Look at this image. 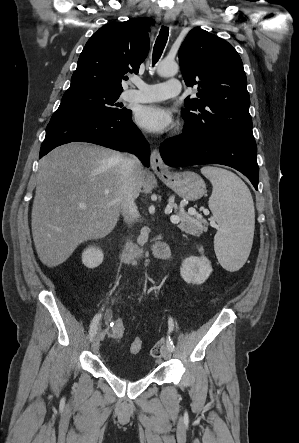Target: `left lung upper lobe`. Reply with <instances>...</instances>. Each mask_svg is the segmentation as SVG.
Returning a JSON list of instances; mask_svg holds the SVG:
<instances>
[{"instance_id":"5c2ea615","label":"left lung upper lobe","mask_w":299,"mask_h":443,"mask_svg":"<svg viewBox=\"0 0 299 443\" xmlns=\"http://www.w3.org/2000/svg\"><path fill=\"white\" fill-rule=\"evenodd\" d=\"M178 56L185 83L198 85L196 97L184 102L185 129L203 136H252L247 78L233 46L201 28H194Z\"/></svg>"}]
</instances>
